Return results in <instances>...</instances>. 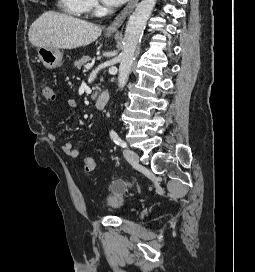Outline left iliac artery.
<instances>
[{"instance_id":"44dca946","label":"left iliac artery","mask_w":255,"mask_h":272,"mask_svg":"<svg viewBox=\"0 0 255 272\" xmlns=\"http://www.w3.org/2000/svg\"><path fill=\"white\" fill-rule=\"evenodd\" d=\"M110 137L117 145L123 148L127 146L126 143L118 136V134L114 130L110 131Z\"/></svg>"}]
</instances>
